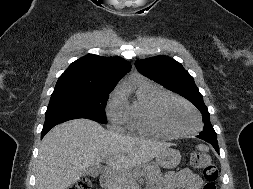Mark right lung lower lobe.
<instances>
[{
	"mask_svg": "<svg viewBox=\"0 0 253 189\" xmlns=\"http://www.w3.org/2000/svg\"><path fill=\"white\" fill-rule=\"evenodd\" d=\"M66 121L65 119L62 120H54V121H49V122H45L44 126H43V130L41 132V138L44 137V135L51 129L53 128L55 125Z\"/></svg>",
	"mask_w": 253,
	"mask_h": 189,
	"instance_id": "1",
	"label": "right lung lower lobe"
}]
</instances>
